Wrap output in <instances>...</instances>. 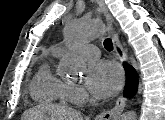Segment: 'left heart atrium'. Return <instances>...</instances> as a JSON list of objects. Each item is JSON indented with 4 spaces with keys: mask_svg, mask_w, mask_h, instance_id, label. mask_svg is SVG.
<instances>
[{
    "mask_svg": "<svg viewBox=\"0 0 165 120\" xmlns=\"http://www.w3.org/2000/svg\"><path fill=\"white\" fill-rule=\"evenodd\" d=\"M120 68L109 61H97L91 64L88 71V87L98 97L114 95L122 84Z\"/></svg>",
    "mask_w": 165,
    "mask_h": 120,
    "instance_id": "1",
    "label": "left heart atrium"
}]
</instances>
